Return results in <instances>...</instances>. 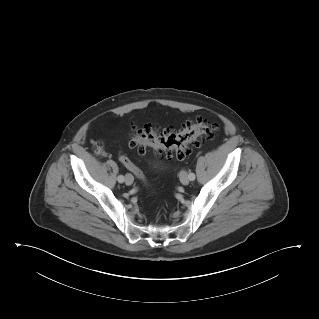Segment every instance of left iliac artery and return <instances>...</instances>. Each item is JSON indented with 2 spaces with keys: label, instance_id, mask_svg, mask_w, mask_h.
Returning a JSON list of instances; mask_svg holds the SVG:
<instances>
[{
  "label": "left iliac artery",
  "instance_id": "left-iliac-artery-1",
  "mask_svg": "<svg viewBox=\"0 0 319 319\" xmlns=\"http://www.w3.org/2000/svg\"><path fill=\"white\" fill-rule=\"evenodd\" d=\"M188 177H189V180H190V181L195 180V174H194V173H190V174L188 175Z\"/></svg>",
  "mask_w": 319,
  "mask_h": 319
}]
</instances>
